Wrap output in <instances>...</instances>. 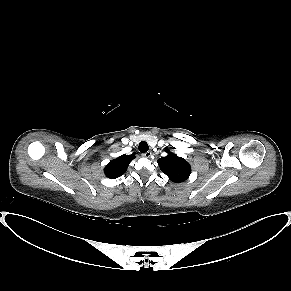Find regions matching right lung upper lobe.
<instances>
[{
	"label": "right lung upper lobe",
	"mask_w": 291,
	"mask_h": 291,
	"mask_svg": "<svg viewBox=\"0 0 291 291\" xmlns=\"http://www.w3.org/2000/svg\"><path fill=\"white\" fill-rule=\"evenodd\" d=\"M135 158L132 155H122L112 161L104 168L105 175L110 179H115L118 176L124 174L130 164V162Z\"/></svg>",
	"instance_id": "cb5924a9"
}]
</instances>
